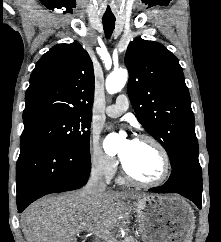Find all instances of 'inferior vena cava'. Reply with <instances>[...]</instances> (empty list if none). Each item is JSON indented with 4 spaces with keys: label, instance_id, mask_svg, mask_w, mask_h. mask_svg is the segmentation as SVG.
<instances>
[{
    "label": "inferior vena cava",
    "instance_id": "inferior-vena-cava-1",
    "mask_svg": "<svg viewBox=\"0 0 221 242\" xmlns=\"http://www.w3.org/2000/svg\"><path fill=\"white\" fill-rule=\"evenodd\" d=\"M106 184L103 180V172L100 167H93L90 178L84 190L88 195H96L105 191Z\"/></svg>",
    "mask_w": 221,
    "mask_h": 242
}]
</instances>
